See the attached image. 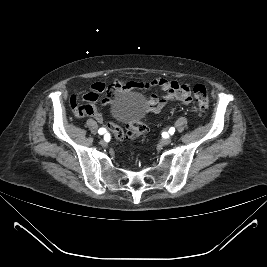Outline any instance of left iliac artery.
<instances>
[{
    "instance_id": "44dca946",
    "label": "left iliac artery",
    "mask_w": 267,
    "mask_h": 267,
    "mask_svg": "<svg viewBox=\"0 0 267 267\" xmlns=\"http://www.w3.org/2000/svg\"><path fill=\"white\" fill-rule=\"evenodd\" d=\"M174 132H175V128L171 127V128L169 129V133H170V134H173Z\"/></svg>"
}]
</instances>
